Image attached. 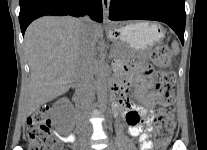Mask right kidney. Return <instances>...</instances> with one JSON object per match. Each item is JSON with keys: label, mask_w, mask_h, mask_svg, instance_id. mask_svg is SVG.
I'll list each match as a JSON object with an SVG mask.
<instances>
[{"label": "right kidney", "mask_w": 207, "mask_h": 150, "mask_svg": "<svg viewBox=\"0 0 207 150\" xmlns=\"http://www.w3.org/2000/svg\"><path fill=\"white\" fill-rule=\"evenodd\" d=\"M68 105L69 102L66 98L58 100L52 107V118L55 121H58L61 118L65 108L68 107Z\"/></svg>", "instance_id": "right-kidney-1"}]
</instances>
